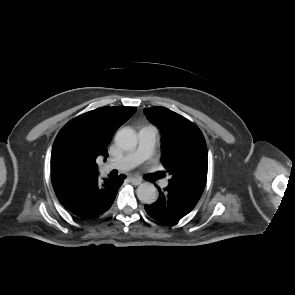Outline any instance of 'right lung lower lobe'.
<instances>
[{
  "instance_id": "obj_1",
  "label": "right lung lower lobe",
  "mask_w": 295,
  "mask_h": 295,
  "mask_svg": "<svg viewBox=\"0 0 295 295\" xmlns=\"http://www.w3.org/2000/svg\"><path fill=\"white\" fill-rule=\"evenodd\" d=\"M125 175L100 181L98 174L83 179L52 181L59 202L77 219L88 221L110 209Z\"/></svg>"
}]
</instances>
